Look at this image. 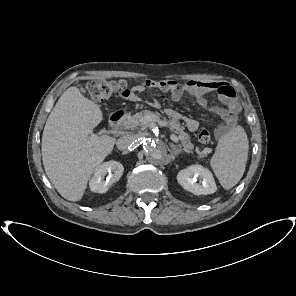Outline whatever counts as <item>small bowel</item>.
I'll list each match as a JSON object with an SVG mask.
<instances>
[{
	"instance_id": "obj_1",
	"label": "small bowel",
	"mask_w": 296,
	"mask_h": 296,
	"mask_svg": "<svg viewBox=\"0 0 296 296\" xmlns=\"http://www.w3.org/2000/svg\"><path fill=\"white\" fill-rule=\"evenodd\" d=\"M147 89H160L168 92L173 100H179L183 94L197 97L201 104L205 103V96L210 93L218 95L221 106L212 109V113L221 119V124L216 129L219 137L224 136L232 127L235 126L240 112V105L236 98L234 89L227 83L215 81H195L190 80L184 84H180L175 80H146L136 84L130 91L125 94V98L129 101H140V94ZM157 106V102L152 103ZM166 114L173 119H182L191 132L199 128V122L192 117H184L173 109H167Z\"/></svg>"
}]
</instances>
